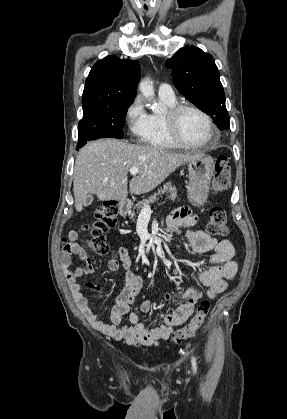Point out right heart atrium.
Returning a JSON list of instances; mask_svg holds the SVG:
<instances>
[{"label":"right heart atrium","instance_id":"d8ad5b80","mask_svg":"<svg viewBox=\"0 0 287 419\" xmlns=\"http://www.w3.org/2000/svg\"><path fill=\"white\" fill-rule=\"evenodd\" d=\"M147 120L148 114L143 102L139 97H136L125 113V121L130 134L141 138L147 127Z\"/></svg>","mask_w":287,"mask_h":419}]
</instances>
